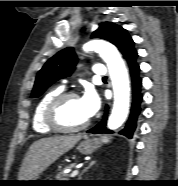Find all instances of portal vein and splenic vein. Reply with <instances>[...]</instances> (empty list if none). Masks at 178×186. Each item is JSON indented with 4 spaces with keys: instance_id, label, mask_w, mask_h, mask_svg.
Wrapping results in <instances>:
<instances>
[{
    "instance_id": "1",
    "label": "portal vein and splenic vein",
    "mask_w": 178,
    "mask_h": 186,
    "mask_svg": "<svg viewBox=\"0 0 178 186\" xmlns=\"http://www.w3.org/2000/svg\"><path fill=\"white\" fill-rule=\"evenodd\" d=\"M79 174V171L78 170H74L72 173H71V175H70V177H76L77 175Z\"/></svg>"
}]
</instances>
